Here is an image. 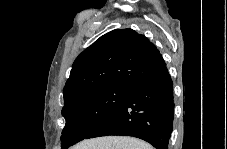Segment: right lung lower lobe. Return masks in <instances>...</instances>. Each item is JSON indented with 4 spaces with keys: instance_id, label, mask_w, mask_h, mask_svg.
<instances>
[{
    "instance_id": "98d812e1",
    "label": "right lung lower lobe",
    "mask_w": 227,
    "mask_h": 149,
    "mask_svg": "<svg viewBox=\"0 0 227 149\" xmlns=\"http://www.w3.org/2000/svg\"><path fill=\"white\" fill-rule=\"evenodd\" d=\"M173 82L166 66L135 84L126 101L88 137L133 136L168 149L173 130Z\"/></svg>"
}]
</instances>
